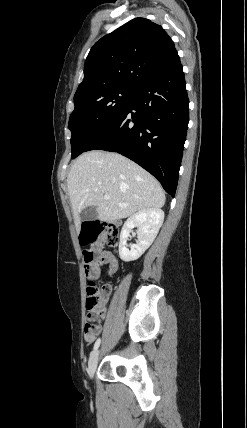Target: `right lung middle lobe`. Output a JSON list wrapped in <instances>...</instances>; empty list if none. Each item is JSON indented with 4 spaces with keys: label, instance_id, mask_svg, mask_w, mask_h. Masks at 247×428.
<instances>
[{
    "label": "right lung middle lobe",
    "instance_id": "right-lung-middle-lobe-1",
    "mask_svg": "<svg viewBox=\"0 0 247 428\" xmlns=\"http://www.w3.org/2000/svg\"><path fill=\"white\" fill-rule=\"evenodd\" d=\"M136 93L137 89L116 86L74 97L75 108L69 119L72 158L86 151L126 109Z\"/></svg>",
    "mask_w": 247,
    "mask_h": 428
}]
</instances>
